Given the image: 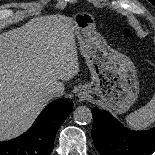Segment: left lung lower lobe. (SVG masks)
Segmentation results:
<instances>
[{
  "instance_id": "obj_1",
  "label": "left lung lower lobe",
  "mask_w": 155,
  "mask_h": 155,
  "mask_svg": "<svg viewBox=\"0 0 155 155\" xmlns=\"http://www.w3.org/2000/svg\"><path fill=\"white\" fill-rule=\"evenodd\" d=\"M91 135L101 155H148L155 150V128L132 131L109 112L94 107Z\"/></svg>"
}]
</instances>
